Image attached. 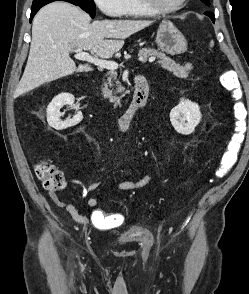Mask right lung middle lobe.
I'll use <instances>...</instances> for the list:
<instances>
[{
    "label": "right lung middle lobe",
    "mask_w": 249,
    "mask_h": 294,
    "mask_svg": "<svg viewBox=\"0 0 249 294\" xmlns=\"http://www.w3.org/2000/svg\"><path fill=\"white\" fill-rule=\"evenodd\" d=\"M58 0H33L32 8L38 6H44L50 2ZM72 3L74 5L80 6L84 11H86L92 18L95 17L96 7L93 0H60Z\"/></svg>",
    "instance_id": "obj_1"
}]
</instances>
